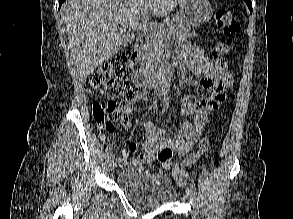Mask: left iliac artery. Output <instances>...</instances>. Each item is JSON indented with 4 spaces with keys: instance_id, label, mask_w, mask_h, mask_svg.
<instances>
[{
    "instance_id": "1",
    "label": "left iliac artery",
    "mask_w": 293,
    "mask_h": 219,
    "mask_svg": "<svg viewBox=\"0 0 293 219\" xmlns=\"http://www.w3.org/2000/svg\"><path fill=\"white\" fill-rule=\"evenodd\" d=\"M190 189H191L192 193H195L196 187H195V183L193 180H191V182H190Z\"/></svg>"
}]
</instances>
